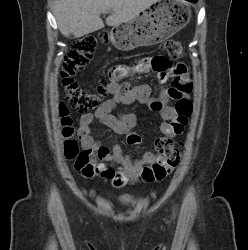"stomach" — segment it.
Masks as SVG:
<instances>
[{"mask_svg": "<svg viewBox=\"0 0 248 250\" xmlns=\"http://www.w3.org/2000/svg\"><path fill=\"white\" fill-rule=\"evenodd\" d=\"M191 11L184 0H160L133 20L114 26L106 35L121 51L161 43L187 25Z\"/></svg>", "mask_w": 248, "mask_h": 250, "instance_id": "0dacf381", "label": "stomach"}]
</instances>
